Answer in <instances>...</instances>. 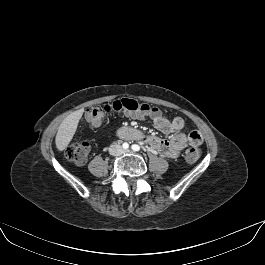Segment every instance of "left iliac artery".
<instances>
[{
    "mask_svg": "<svg viewBox=\"0 0 265 265\" xmlns=\"http://www.w3.org/2000/svg\"><path fill=\"white\" fill-rule=\"evenodd\" d=\"M131 148H132V150H134V151H139V150H140V146L137 145V144L132 145Z\"/></svg>",
    "mask_w": 265,
    "mask_h": 265,
    "instance_id": "1",
    "label": "left iliac artery"
}]
</instances>
